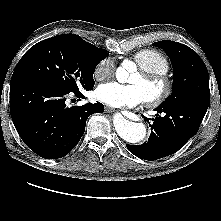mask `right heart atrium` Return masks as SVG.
<instances>
[{
  "mask_svg": "<svg viewBox=\"0 0 221 221\" xmlns=\"http://www.w3.org/2000/svg\"><path fill=\"white\" fill-rule=\"evenodd\" d=\"M114 74V62L111 58L102 59L94 68L93 76L98 81L110 78Z\"/></svg>",
  "mask_w": 221,
  "mask_h": 221,
  "instance_id": "right-heart-atrium-1",
  "label": "right heart atrium"
}]
</instances>
